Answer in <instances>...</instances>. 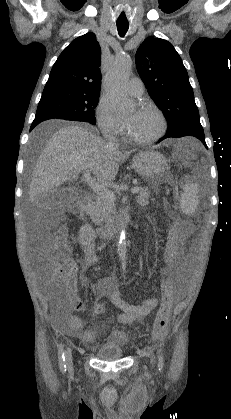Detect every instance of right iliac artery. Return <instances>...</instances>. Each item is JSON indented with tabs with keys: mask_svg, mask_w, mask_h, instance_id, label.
<instances>
[{
	"mask_svg": "<svg viewBox=\"0 0 231 419\" xmlns=\"http://www.w3.org/2000/svg\"><path fill=\"white\" fill-rule=\"evenodd\" d=\"M58 358H59L60 370L62 371V373H64L66 371V364H65L64 348L62 344L60 345V348H59Z\"/></svg>",
	"mask_w": 231,
	"mask_h": 419,
	"instance_id": "82829eb1",
	"label": "right iliac artery"
}]
</instances>
